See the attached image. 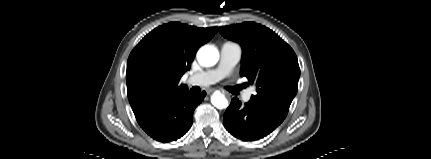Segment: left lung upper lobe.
Returning <instances> with one entry per match:
<instances>
[{
  "label": "left lung upper lobe",
  "mask_w": 431,
  "mask_h": 159,
  "mask_svg": "<svg viewBox=\"0 0 431 159\" xmlns=\"http://www.w3.org/2000/svg\"><path fill=\"white\" fill-rule=\"evenodd\" d=\"M219 32L242 46L240 74L257 87V94L251 99L288 111L300 77L292 48L275 32L254 22L220 27Z\"/></svg>",
  "instance_id": "1"
}]
</instances>
